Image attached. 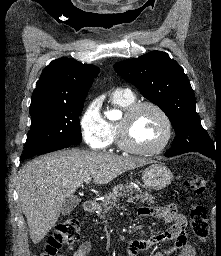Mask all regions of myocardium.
<instances>
[{
	"label": "myocardium",
	"mask_w": 221,
	"mask_h": 256,
	"mask_svg": "<svg viewBox=\"0 0 221 256\" xmlns=\"http://www.w3.org/2000/svg\"><path fill=\"white\" fill-rule=\"evenodd\" d=\"M143 108H151L156 111L162 118L165 127L164 135L161 141L157 145L150 148L139 147L133 144L129 138V128L131 121L134 116ZM172 134L173 125L171 118L159 104L152 101H139L131 104L125 109L124 115L117 125L118 145L124 151L136 155L152 156L162 152L169 144L172 138Z\"/></svg>",
	"instance_id": "f54148a6"
}]
</instances>
